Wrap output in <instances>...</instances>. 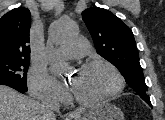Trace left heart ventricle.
<instances>
[{
	"mask_svg": "<svg viewBox=\"0 0 165 120\" xmlns=\"http://www.w3.org/2000/svg\"><path fill=\"white\" fill-rule=\"evenodd\" d=\"M73 91L81 98L95 99L115 86V77L106 67L80 69L71 79Z\"/></svg>",
	"mask_w": 165,
	"mask_h": 120,
	"instance_id": "1",
	"label": "left heart ventricle"
}]
</instances>
